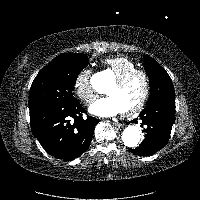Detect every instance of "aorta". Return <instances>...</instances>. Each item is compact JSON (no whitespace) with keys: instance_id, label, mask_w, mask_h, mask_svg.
<instances>
[{"instance_id":"aorta-1","label":"aorta","mask_w":200,"mask_h":200,"mask_svg":"<svg viewBox=\"0 0 200 200\" xmlns=\"http://www.w3.org/2000/svg\"><path fill=\"white\" fill-rule=\"evenodd\" d=\"M98 78H99L98 75H96L93 78V86L96 89H97L96 82H97ZM140 137H141L140 129L135 125H129L123 131L122 141L125 146H127L129 148H134L138 145V143L140 141Z\"/></svg>"}]
</instances>
